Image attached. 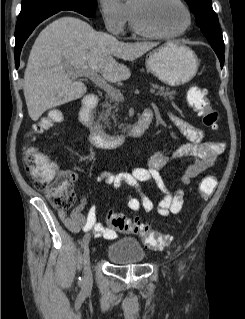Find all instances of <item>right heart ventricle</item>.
<instances>
[{
    "label": "right heart ventricle",
    "mask_w": 245,
    "mask_h": 319,
    "mask_svg": "<svg viewBox=\"0 0 245 319\" xmlns=\"http://www.w3.org/2000/svg\"><path fill=\"white\" fill-rule=\"evenodd\" d=\"M126 11H127V22L129 24L130 28L133 29L132 22H131V15H130L129 5H126Z\"/></svg>",
    "instance_id": "right-heart-ventricle-1"
}]
</instances>
